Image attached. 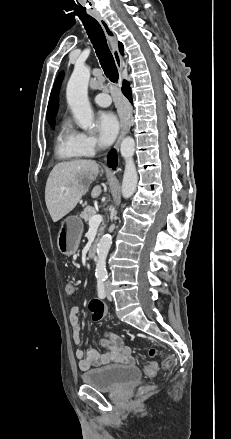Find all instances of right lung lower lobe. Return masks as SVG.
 I'll return each mask as SVG.
<instances>
[{"label": "right lung lower lobe", "instance_id": "obj_1", "mask_svg": "<svg viewBox=\"0 0 231 439\" xmlns=\"http://www.w3.org/2000/svg\"><path fill=\"white\" fill-rule=\"evenodd\" d=\"M122 92L130 100V102H132L131 88H130L127 81L123 82ZM108 165H109V167H112L113 169L117 166V155H116V151L114 149H112L108 154Z\"/></svg>", "mask_w": 231, "mask_h": 439}]
</instances>
